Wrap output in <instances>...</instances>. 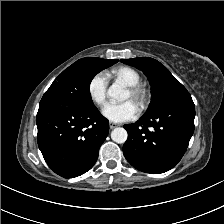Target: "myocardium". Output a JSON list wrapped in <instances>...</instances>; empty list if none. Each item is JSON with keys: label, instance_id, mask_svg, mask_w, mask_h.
<instances>
[{"label": "myocardium", "instance_id": "f54148a6", "mask_svg": "<svg viewBox=\"0 0 224 224\" xmlns=\"http://www.w3.org/2000/svg\"><path fill=\"white\" fill-rule=\"evenodd\" d=\"M132 100L140 109H145L150 102L149 91L141 85L127 86Z\"/></svg>", "mask_w": 224, "mask_h": 224}]
</instances>
